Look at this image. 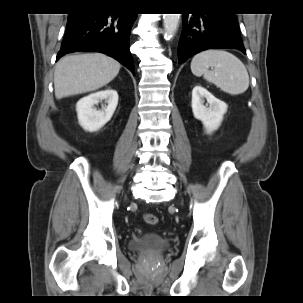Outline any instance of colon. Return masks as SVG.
Here are the masks:
<instances>
[{
    "mask_svg": "<svg viewBox=\"0 0 303 303\" xmlns=\"http://www.w3.org/2000/svg\"><path fill=\"white\" fill-rule=\"evenodd\" d=\"M144 220L147 224H150V225H155L158 223V218L154 214H146L144 216Z\"/></svg>",
    "mask_w": 303,
    "mask_h": 303,
    "instance_id": "colon-1",
    "label": "colon"
}]
</instances>
